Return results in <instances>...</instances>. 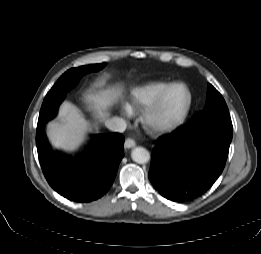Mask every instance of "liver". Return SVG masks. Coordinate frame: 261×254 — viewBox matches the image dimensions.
<instances>
[{"label":"liver","mask_w":261,"mask_h":254,"mask_svg":"<svg viewBox=\"0 0 261 254\" xmlns=\"http://www.w3.org/2000/svg\"><path fill=\"white\" fill-rule=\"evenodd\" d=\"M122 98V89H113L89 92L86 95L87 103L94 109L100 119L108 117L106 109ZM60 122H52L48 125L47 133L55 147L66 150L78 148L85 139L88 131V123L82 117L79 110L71 103L65 102L59 111Z\"/></svg>","instance_id":"liver-1"}]
</instances>
